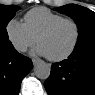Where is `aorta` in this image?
I'll list each match as a JSON object with an SVG mask.
<instances>
[{
  "label": "aorta",
  "mask_w": 95,
  "mask_h": 95,
  "mask_svg": "<svg viewBox=\"0 0 95 95\" xmlns=\"http://www.w3.org/2000/svg\"><path fill=\"white\" fill-rule=\"evenodd\" d=\"M51 73V67L46 62H39L34 66V74L37 78L46 80Z\"/></svg>",
  "instance_id": "obj_1"
}]
</instances>
